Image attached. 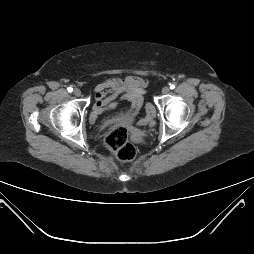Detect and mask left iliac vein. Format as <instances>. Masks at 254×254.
<instances>
[{
	"label": "left iliac vein",
	"instance_id": "1",
	"mask_svg": "<svg viewBox=\"0 0 254 254\" xmlns=\"http://www.w3.org/2000/svg\"><path fill=\"white\" fill-rule=\"evenodd\" d=\"M169 91H170V88L167 87V86H165V87L162 89V93H163V94H167V93H169Z\"/></svg>",
	"mask_w": 254,
	"mask_h": 254
}]
</instances>
